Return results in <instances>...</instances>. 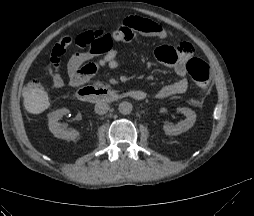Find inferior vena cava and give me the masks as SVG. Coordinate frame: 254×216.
I'll return each mask as SVG.
<instances>
[{
    "mask_svg": "<svg viewBox=\"0 0 254 216\" xmlns=\"http://www.w3.org/2000/svg\"><path fill=\"white\" fill-rule=\"evenodd\" d=\"M109 108L110 107L106 102L100 101L95 105V112L99 115H103L108 112Z\"/></svg>",
    "mask_w": 254,
    "mask_h": 216,
    "instance_id": "1",
    "label": "inferior vena cava"
}]
</instances>
